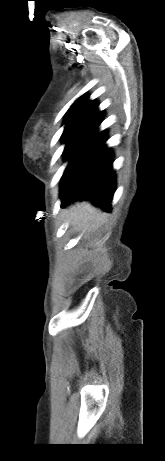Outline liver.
<instances>
[{
    "label": "liver",
    "mask_w": 165,
    "mask_h": 461,
    "mask_svg": "<svg viewBox=\"0 0 165 461\" xmlns=\"http://www.w3.org/2000/svg\"><path fill=\"white\" fill-rule=\"evenodd\" d=\"M67 220L76 230L97 229L104 214L88 202H78L66 210Z\"/></svg>",
    "instance_id": "1"
}]
</instances>
